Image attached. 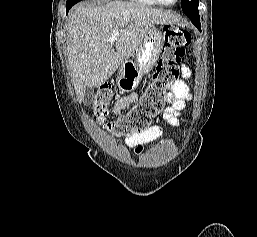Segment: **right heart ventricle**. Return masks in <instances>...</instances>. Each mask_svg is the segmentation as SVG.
Listing matches in <instances>:
<instances>
[{
    "mask_svg": "<svg viewBox=\"0 0 257 237\" xmlns=\"http://www.w3.org/2000/svg\"><path fill=\"white\" fill-rule=\"evenodd\" d=\"M129 1L137 4H141V5H148V6L157 5V2L155 0H129Z\"/></svg>",
    "mask_w": 257,
    "mask_h": 237,
    "instance_id": "e07e8e85",
    "label": "right heart ventricle"
}]
</instances>
